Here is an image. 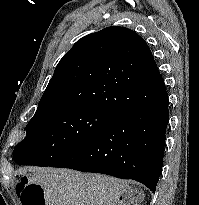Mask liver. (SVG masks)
I'll return each instance as SVG.
<instances>
[{
	"instance_id": "6515ba94",
	"label": "liver",
	"mask_w": 199,
	"mask_h": 205,
	"mask_svg": "<svg viewBox=\"0 0 199 205\" xmlns=\"http://www.w3.org/2000/svg\"><path fill=\"white\" fill-rule=\"evenodd\" d=\"M37 179L46 205H117L120 196L126 198V205L138 200L126 181L101 174L43 168Z\"/></svg>"
}]
</instances>
